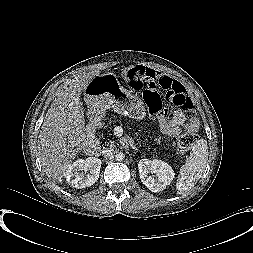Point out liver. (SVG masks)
Wrapping results in <instances>:
<instances>
[{"instance_id":"6515ba94","label":"liver","mask_w":253,"mask_h":253,"mask_svg":"<svg viewBox=\"0 0 253 253\" xmlns=\"http://www.w3.org/2000/svg\"><path fill=\"white\" fill-rule=\"evenodd\" d=\"M97 75L99 71L83 73L59 86L41 126L39 159L46 174L60 183L86 140L80 94Z\"/></svg>"}]
</instances>
